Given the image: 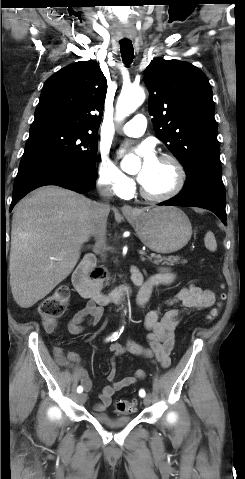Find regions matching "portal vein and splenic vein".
<instances>
[{"label":"portal vein and splenic vein","instance_id":"obj_1","mask_svg":"<svg viewBox=\"0 0 245 479\" xmlns=\"http://www.w3.org/2000/svg\"><path fill=\"white\" fill-rule=\"evenodd\" d=\"M139 254L146 255V253L144 251H141V250L139 251Z\"/></svg>","mask_w":245,"mask_h":479}]
</instances>
